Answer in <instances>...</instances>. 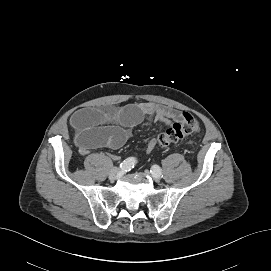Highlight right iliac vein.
<instances>
[{"label":"right iliac vein","mask_w":271,"mask_h":271,"mask_svg":"<svg viewBox=\"0 0 271 271\" xmlns=\"http://www.w3.org/2000/svg\"><path fill=\"white\" fill-rule=\"evenodd\" d=\"M121 171L119 168H113L111 171H110V174H109V179L111 181H115L118 176L120 175Z\"/></svg>","instance_id":"1"}]
</instances>
